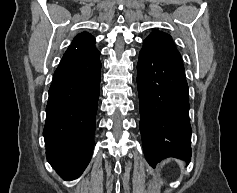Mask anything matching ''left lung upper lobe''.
Here are the masks:
<instances>
[{
	"label": "left lung upper lobe",
	"mask_w": 237,
	"mask_h": 193,
	"mask_svg": "<svg viewBox=\"0 0 237 193\" xmlns=\"http://www.w3.org/2000/svg\"><path fill=\"white\" fill-rule=\"evenodd\" d=\"M152 43H155L161 47H164L166 49H169L177 54L180 55L178 50L176 49L173 40L170 35L167 33H164L162 31L154 30L149 34V36L145 39Z\"/></svg>",
	"instance_id": "left-lung-upper-lobe-1"
}]
</instances>
